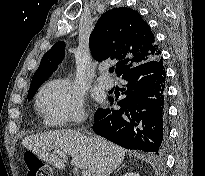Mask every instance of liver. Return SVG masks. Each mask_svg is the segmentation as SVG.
<instances>
[{"mask_svg": "<svg viewBox=\"0 0 205 176\" xmlns=\"http://www.w3.org/2000/svg\"><path fill=\"white\" fill-rule=\"evenodd\" d=\"M22 145L57 169L65 164L58 152L69 154L72 165L90 172L91 176H109L125 157V150L99 136H87L75 130H56L30 135Z\"/></svg>", "mask_w": 205, "mask_h": 176, "instance_id": "6515ba94", "label": "liver"}]
</instances>
